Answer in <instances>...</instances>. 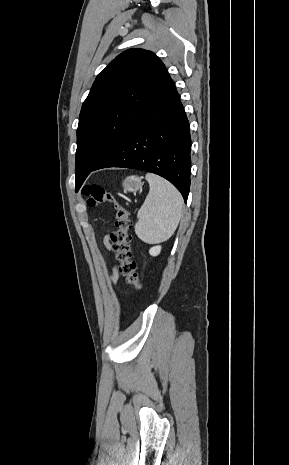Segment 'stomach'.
Returning <instances> with one entry per match:
<instances>
[{
  "label": "stomach",
  "instance_id": "1",
  "mask_svg": "<svg viewBox=\"0 0 289 465\" xmlns=\"http://www.w3.org/2000/svg\"><path fill=\"white\" fill-rule=\"evenodd\" d=\"M142 185L143 183L141 182V177L138 176L126 177L122 182L124 191L129 192H136L137 190L142 188Z\"/></svg>",
  "mask_w": 289,
  "mask_h": 465
}]
</instances>
